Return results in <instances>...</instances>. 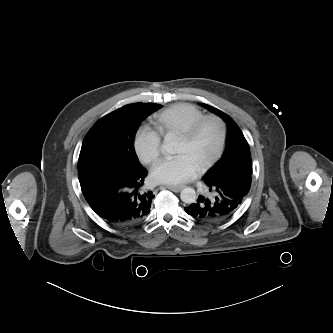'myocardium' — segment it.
I'll list each match as a JSON object with an SVG mask.
<instances>
[{
  "instance_id": "1",
  "label": "myocardium",
  "mask_w": 333,
  "mask_h": 333,
  "mask_svg": "<svg viewBox=\"0 0 333 333\" xmlns=\"http://www.w3.org/2000/svg\"><path fill=\"white\" fill-rule=\"evenodd\" d=\"M209 121H213L219 126L220 130L219 144L214 155L206 162H204L200 167H198V172H204L208 170L221 158L227 142V133H228L227 123L219 115L215 114L205 115L179 135V138L185 141H191L196 137V135L203 127V125Z\"/></svg>"
}]
</instances>
